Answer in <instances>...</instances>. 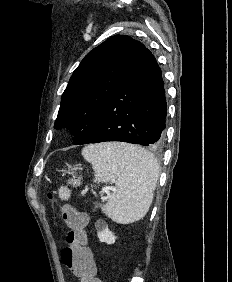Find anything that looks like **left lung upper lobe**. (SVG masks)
Returning a JSON list of instances; mask_svg holds the SVG:
<instances>
[{
	"label": "left lung upper lobe",
	"mask_w": 232,
	"mask_h": 282,
	"mask_svg": "<svg viewBox=\"0 0 232 282\" xmlns=\"http://www.w3.org/2000/svg\"><path fill=\"white\" fill-rule=\"evenodd\" d=\"M146 47L129 36L110 37L91 50L62 94L55 128H69L75 140L94 128L105 103L124 84Z\"/></svg>",
	"instance_id": "left-lung-upper-lobe-1"
}]
</instances>
